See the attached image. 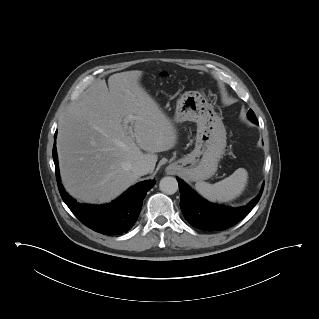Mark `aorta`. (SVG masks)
Returning <instances> with one entry per match:
<instances>
[{
	"instance_id": "aorta-1",
	"label": "aorta",
	"mask_w": 319,
	"mask_h": 319,
	"mask_svg": "<svg viewBox=\"0 0 319 319\" xmlns=\"http://www.w3.org/2000/svg\"><path fill=\"white\" fill-rule=\"evenodd\" d=\"M159 188L163 193L172 195L178 190V182L176 178L167 176L160 180Z\"/></svg>"
}]
</instances>
